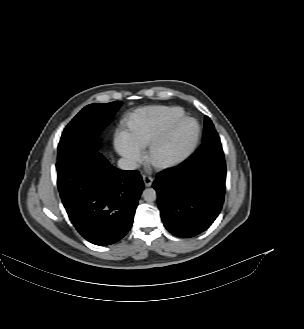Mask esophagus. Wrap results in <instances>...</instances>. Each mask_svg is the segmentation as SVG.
Instances as JSON below:
<instances>
[{
    "mask_svg": "<svg viewBox=\"0 0 304 329\" xmlns=\"http://www.w3.org/2000/svg\"><path fill=\"white\" fill-rule=\"evenodd\" d=\"M142 179L146 187H150L153 183V178L148 175H143Z\"/></svg>",
    "mask_w": 304,
    "mask_h": 329,
    "instance_id": "obj_1",
    "label": "esophagus"
}]
</instances>
